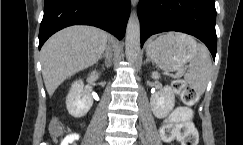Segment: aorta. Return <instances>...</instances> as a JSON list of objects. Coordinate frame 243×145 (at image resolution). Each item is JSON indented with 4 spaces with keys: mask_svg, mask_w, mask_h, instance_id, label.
Instances as JSON below:
<instances>
[{
    "mask_svg": "<svg viewBox=\"0 0 243 145\" xmlns=\"http://www.w3.org/2000/svg\"><path fill=\"white\" fill-rule=\"evenodd\" d=\"M140 52V23L136 13H131L127 29L125 40V53L129 62L134 63Z\"/></svg>",
    "mask_w": 243,
    "mask_h": 145,
    "instance_id": "1",
    "label": "aorta"
}]
</instances>
